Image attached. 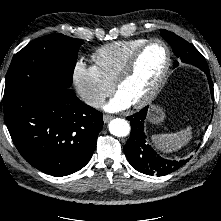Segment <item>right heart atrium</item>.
Here are the masks:
<instances>
[{
	"label": "right heart atrium",
	"mask_w": 221,
	"mask_h": 221,
	"mask_svg": "<svg viewBox=\"0 0 221 221\" xmlns=\"http://www.w3.org/2000/svg\"><path fill=\"white\" fill-rule=\"evenodd\" d=\"M72 80L78 96L89 106L99 105L112 91L108 82L95 65L78 61L73 69Z\"/></svg>",
	"instance_id": "d8ad5b80"
}]
</instances>
